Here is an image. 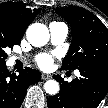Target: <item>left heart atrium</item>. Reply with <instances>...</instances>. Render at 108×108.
<instances>
[{
  "mask_svg": "<svg viewBox=\"0 0 108 108\" xmlns=\"http://www.w3.org/2000/svg\"><path fill=\"white\" fill-rule=\"evenodd\" d=\"M53 59L49 55H40L37 58V64L42 69H49L52 65Z\"/></svg>",
  "mask_w": 108,
  "mask_h": 108,
  "instance_id": "39dd6f15",
  "label": "left heart atrium"
}]
</instances>
